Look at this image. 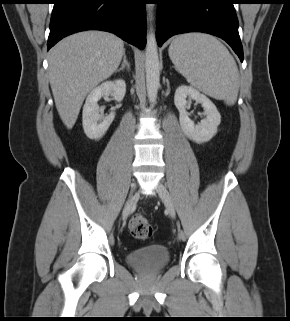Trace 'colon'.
I'll return each mask as SVG.
<instances>
[{"label":"colon","mask_w":290,"mask_h":321,"mask_svg":"<svg viewBox=\"0 0 290 321\" xmlns=\"http://www.w3.org/2000/svg\"><path fill=\"white\" fill-rule=\"evenodd\" d=\"M129 231L134 238L142 240L150 238L153 232L150 222L141 214L132 216L129 221Z\"/></svg>","instance_id":"5ec220e1"}]
</instances>
